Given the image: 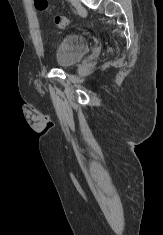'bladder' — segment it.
Here are the masks:
<instances>
[{
    "instance_id": "1",
    "label": "bladder",
    "mask_w": 163,
    "mask_h": 235,
    "mask_svg": "<svg viewBox=\"0 0 163 235\" xmlns=\"http://www.w3.org/2000/svg\"><path fill=\"white\" fill-rule=\"evenodd\" d=\"M89 50V43L82 36L67 34L59 43L55 61L60 68H69L79 63Z\"/></svg>"
}]
</instances>
